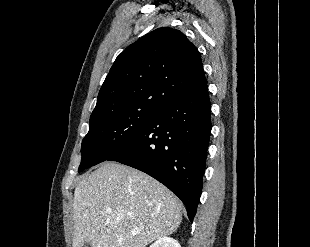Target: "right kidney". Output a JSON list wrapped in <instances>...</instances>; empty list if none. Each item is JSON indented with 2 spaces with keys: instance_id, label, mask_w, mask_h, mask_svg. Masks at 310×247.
Returning a JSON list of instances; mask_svg holds the SVG:
<instances>
[{
  "instance_id": "obj_1",
  "label": "right kidney",
  "mask_w": 310,
  "mask_h": 247,
  "mask_svg": "<svg viewBox=\"0 0 310 247\" xmlns=\"http://www.w3.org/2000/svg\"><path fill=\"white\" fill-rule=\"evenodd\" d=\"M150 247H181L179 242L171 237H162L154 242Z\"/></svg>"
}]
</instances>
